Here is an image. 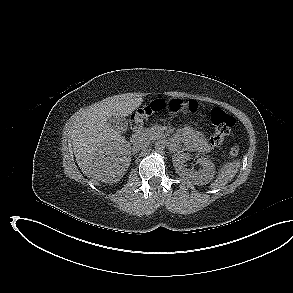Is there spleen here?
<instances>
[{
  "mask_svg": "<svg viewBox=\"0 0 293 293\" xmlns=\"http://www.w3.org/2000/svg\"><path fill=\"white\" fill-rule=\"evenodd\" d=\"M240 161L235 160L225 163L219 170L216 180L211 184L212 189H218L229 183L237 174Z\"/></svg>",
  "mask_w": 293,
  "mask_h": 293,
  "instance_id": "spleen-1",
  "label": "spleen"
}]
</instances>
